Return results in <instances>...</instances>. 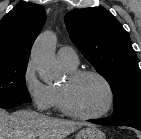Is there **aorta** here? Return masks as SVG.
<instances>
[{
  "label": "aorta",
  "mask_w": 141,
  "mask_h": 139,
  "mask_svg": "<svg viewBox=\"0 0 141 139\" xmlns=\"http://www.w3.org/2000/svg\"><path fill=\"white\" fill-rule=\"evenodd\" d=\"M56 34L52 31L42 32L34 42L31 50V63L40 78L49 83L56 77L55 45Z\"/></svg>",
  "instance_id": "obj_1"
}]
</instances>
